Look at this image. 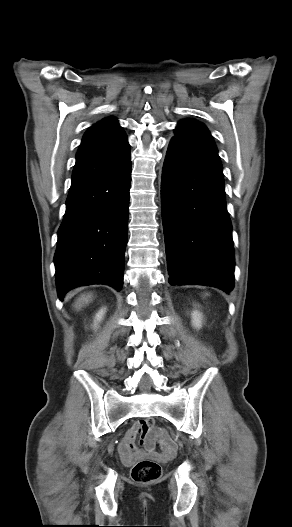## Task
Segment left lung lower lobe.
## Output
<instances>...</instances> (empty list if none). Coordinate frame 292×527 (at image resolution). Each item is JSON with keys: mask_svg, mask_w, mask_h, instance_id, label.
Wrapping results in <instances>:
<instances>
[{"mask_svg": "<svg viewBox=\"0 0 292 527\" xmlns=\"http://www.w3.org/2000/svg\"><path fill=\"white\" fill-rule=\"evenodd\" d=\"M161 208L169 283L230 292L232 226L218 153L171 141L162 172Z\"/></svg>", "mask_w": 292, "mask_h": 527, "instance_id": "1", "label": "left lung lower lobe"}]
</instances>
